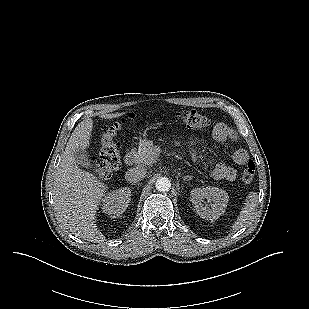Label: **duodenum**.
Instances as JSON below:
<instances>
[{
  "instance_id": "obj_1",
  "label": "duodenum",
  "mask_w": 309,
  "mask_h": 309,
  "mask_svg": "<svg viewBox=\"0 0 309 309\" xmlns=\"http://www.w3.org/2000/svg\"><path fill=\"white\" fill-rule=\"evenodd\" d=\"M136 159V153L133 150H130L126 153L124 157V162L127 166L132 165L135 162Z\"/></svg>"
}]
</instances>
